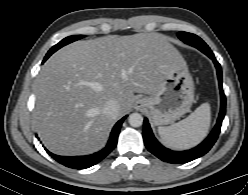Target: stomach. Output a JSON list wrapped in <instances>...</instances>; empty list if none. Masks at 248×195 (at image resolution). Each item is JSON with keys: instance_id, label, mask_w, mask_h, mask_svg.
<instances>
[{"instance_id": "stomach-1", "label": "stomach", "mask_w": 248, "mask_h": 195, "mask_svg": "<svg viewBox=\"0 0 248 195\" xmlns=\"http://www.w3.org/2000/svg\"><path fill=\"white\" fill-rule=\"evenodd\" d=\"M140 102L155 125L171 124L189 112L194 102V84L186 63H174L159 89Z\"/></svg>"}]
</instances>
